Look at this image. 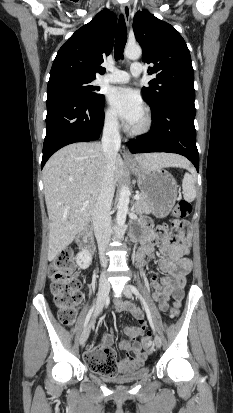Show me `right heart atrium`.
I'll list each match as a JSON object with an SVG mask.
<instances>
[{
	"label": "right heart atrium",
	"mask_w": 233,
	"mask_h": 413,
	"mask_svg": "<svg viewBox=\"0 0 233 413\" xmlns=\"http://www.w3.org/2000/svg\"><path fill=\"white\" fill-rule=\"evenodd\" d=\"M104 122H105V125L110 129L116 130L119 128L118 118L115 112L110 108L105 110Z\"/></svg>",
	"instance_id": "obj_1"
}]
</instances>
